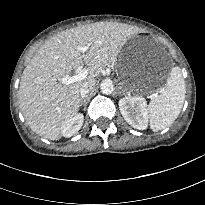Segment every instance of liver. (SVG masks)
<instances>
[{
  "label": "liver",
  "mask_w": 205,
  "mask_h": 205,
  "mask_svg": "<svg viewBox=\"0 0 205 205\" xmlns=\"http://www.w3.org/2000/svg\"><path fill=\"white\" fill-rule=\"evenodd\" d=\"M135 34L131 26L96 22L62 31L45 42L23 71L19 86L20 108L29 127L49 140H59L62 126L79 110V89L94 80L103 66L114 63L122 46ZM88 47L80 52L78 47ZM84 61L89 76L65 85L67 76Z\"/></svg>",
  "instance_id": "1"
}]
</instances>
